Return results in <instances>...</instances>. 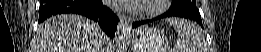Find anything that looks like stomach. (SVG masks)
I'll use <instances>...</instances> for the list:
<instances>
[{
	"label": "stomach",
	"instance_id": "stomach-1",
	"mask_svg": "<svg viewBox=\"0 0 261 52\" xmlns=\"http://www.w3.org/2000/svg\"><path fill=\"white\" fill-rule=\"evenodd\" d=\"M130 41L133 52H165L167 43L164 35L152 28L135 30Z\"/></svg>",
	"mask_w": 261,
	"mask_h": 52
}]
</instances>
